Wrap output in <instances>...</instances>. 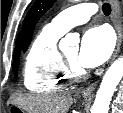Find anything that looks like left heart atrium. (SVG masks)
I'll return each mask as SVG.
<instances>
[{"label": "left heart atrium", "mask_w": 123, "mask_h": 113, "mask_svg": "<svg viewBox=\"0 0 123 113\" xmlns=\"http://www.w3.org/2000/svg\"><path fill=\"white\" fill-rule=\"evenodd\" d=\"M113 47V37L109 29L103 26L90 28L82 37L77 62L85 68L99 66L110 57Z\"/></svg>", "instance_id": "1"}]
</instances>
